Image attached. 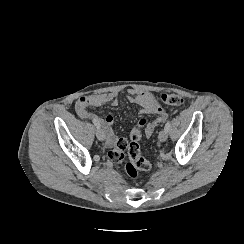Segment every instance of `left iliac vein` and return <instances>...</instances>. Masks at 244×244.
<instances>
[{
    "label": "left iliac vein",
    "instance_id": "left-iliac-vein-1",
    "mask_svg": "<svg viewBox=\"0 0 244 244\" xmlns=\"http://www.w3.org/2000/svg\"><path fill=\"white\" fill-rule=\"evenodd\" d=\"M168 138V134H167V131L165 129L161 130L159 132V136H158V139L160 142H165Z\"/></svg>",
    "mask_w": 244,
    "mask_h": 244
}]
</instances>
